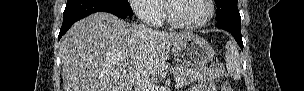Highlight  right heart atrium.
<instances>
[{
    "mask_svg": "<svg viewBox=\"0 0 304 91\" xmlns=\"http://www.w3.org/2000/svg\"><path fill=\"white\" fill-rule=\"evenodd\" d=\"M130 4L142 21L152 24L161 22V11L157 0H132Z\"/></svg>",
    "mask_w": 304,
    "mask_h": 91,
    "instance_id": "1",
    "label": "right heart atrium"
}]
</instances>
